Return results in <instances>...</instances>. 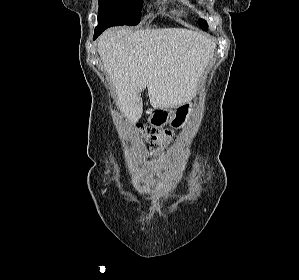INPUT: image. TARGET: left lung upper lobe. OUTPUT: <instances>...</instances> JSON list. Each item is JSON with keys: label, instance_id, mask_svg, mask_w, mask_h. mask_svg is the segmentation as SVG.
<instances>
[{"label": "left lung upper lobe", "instance_id": "5c2ea615", "mask_svg": "<svg viewBox=\"0 0 299 280\" xmlns=\"http://www.w3.org/2000/svg\"><path fill=\"white\" fill-rule=\"evenodd\" d=\"M198 24H199V26H200L202 29H204V30H208V24H207V22H206L205 20L200 19V20L198 21Z\"/></svg>", "mask_w": 299, "mask_h": 280}]
</instances>
